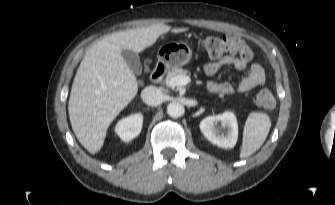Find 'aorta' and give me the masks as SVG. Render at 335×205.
Masks as SVG:
<instances>
[{
	"label": "aorta",
	"mask_w": 335,
	"mask_h": 205,
	"mask_svg": "<svg viewBox=\"0 0 335 205\" xmlns=\"http://www.w3.org/2000/svg\"><path fill=\"white\" fill-rule=\"evenodd\" d=\"M167 114L172 118L181 117L184 114V106L179 102H171L167 105Z\"/></svg>",
	"instance_id": "aorta-1"
}]
</instances>
